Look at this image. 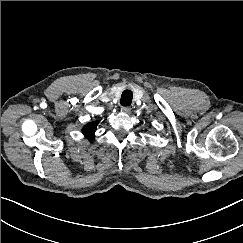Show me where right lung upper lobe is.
Instances as JSON below:
<instances>
[{"mask_svg": "<svg viewBox=\"0 0 243 243\" xmlns=\"http://www.w3.org/2000/svg\"><path fill=\"white\" fill-rule=\"evenodd\" d=\"M96 128H97V121H93L91 123L86 124L83 127L82 133L87 139L93 140Z\"/></svg>", "mask_w": 243, "mask_h": 243, "instance_id": "cb5924a9", "label": "right lung upper lobe"}]
</instances>
